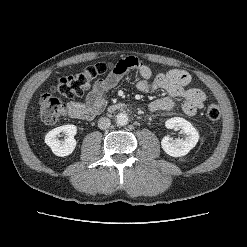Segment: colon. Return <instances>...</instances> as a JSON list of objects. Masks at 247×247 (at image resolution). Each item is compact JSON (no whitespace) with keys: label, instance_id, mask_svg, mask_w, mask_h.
<instances>
[{"label":"colon","instance_id":"1","mask_svg":"<svg viewBox=\"0 0 247 247\" xmlns=\"http://www.w3.org/2000/svg\"><path fill=\"white\" fill-rule=\"evenodd\" d=\"M129 65L121 60L116 64L100 62L73 75L61 78L51 92L43 94L40 98L39 115L41 119L45 123L53 124L66 115L67 109L57 95L67 98L82 96L108 71H124ZM205 115L209 121L216 122L220 118V109L217 105L210 104L206 108Z\"/></svg>","mask_w":247,"mask_h":247}]
</instances>
